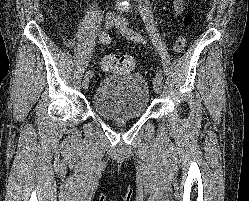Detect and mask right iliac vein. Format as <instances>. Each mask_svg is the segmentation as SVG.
<instances>
[{
    "label": "right iliac vein",
    "mask_w": 249,
    "mask_h": 201,
    "mask_svg": "<svg viewBox=\"0 0 249 201\" xmlns=\"http://www.w3.org/2000/svg\"><path fill=\"white\" fill-rule=\"evenodd\" d=\"M115 22V16L111 12H107L105 16V27L106 29H111ZM90 77L84 76L82 81V87L87 89L89 87Z\"/></svg>",
    "instance_id": "obj_1"
}]
</instances>
